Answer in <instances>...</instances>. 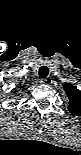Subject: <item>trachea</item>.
Returning a JSON list of instances; mask_svg holds the SVG:
<instances>
[{
	"label": "trachea",
	"instance_id": "1",
	"mask_svg": "<svg viewBox=\"0 0 81 155\" xmlns=\"http://www.w3.org/2000/svg\"><path fill=\"white\" fill-rule=\"evenodd\" d=\"M38 73L41 78H46L49 74V69L47 66H41Z\"/></svg>",
	"mask_w": 81,
	"mask_h": 155
}]
</instances>
